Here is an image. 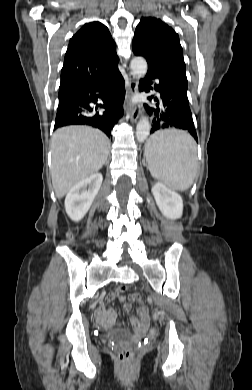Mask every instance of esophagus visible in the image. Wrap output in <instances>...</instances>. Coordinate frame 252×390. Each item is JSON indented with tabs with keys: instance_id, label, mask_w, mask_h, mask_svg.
<instances>
[{
	"instance_id": "esophagus-1",
	"label": "esophagus",
	"mask_w": 252,
	"mask_h": 390,
	"mask_svg": "<svg viewBox=\"0 0 252 390\" xmlns=\"http://www.w3.org/2000/svg\"><path fill=\"white\" fill-rule=\"evenodd\" d=\"M128 95L130 97L134 96L137 91H138V79L137 77L132 73V72H129L128 73ZM141 109H142V104H136L134 106H132V108L130 109V112L128 114V118L130 119V121L132 123H136L138 118H139V115L141 113Z\"/></svg>"
}]
</instances>
